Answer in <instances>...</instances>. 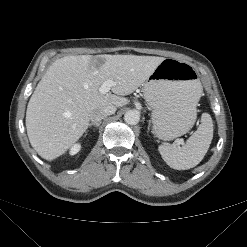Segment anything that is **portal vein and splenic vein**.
<instances>
[{"label": "portal vein and splenic vein", "mask_w": 247, "mask_h": 247, "mask_svg": "<svg viewBox=\"0 0 247 247\" xmlns=\"http://www.w3.org/2000/svg\"><path fill=\"white\" fill-rule=\"evenodd\" d=\"M115 85V82L112 80H106L100 87L99 91L102 94H106L111 90V87H113ZM179 144H183V142H179Z\"/></svg>", "instance_id": "obj_1"}]
</instances>
